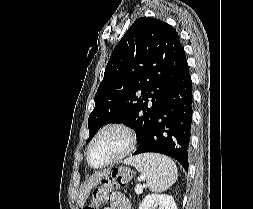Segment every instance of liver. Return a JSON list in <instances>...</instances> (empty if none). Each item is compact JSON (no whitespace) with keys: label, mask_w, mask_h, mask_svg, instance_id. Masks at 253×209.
I'll list each match as a JSON object with an SVG mask.
<instances>
[{"label":"liver","mask_w":253,"mask_h":209,"mask_svg":"<svg viewBox=\"0 0 253 209\" xmlns=\"http://www.w3.org/2000/svg\"><path fill=\"white\" fill-rule=\"evenodd\" d=\"M108 174L109 172L96 173L81 185L78 199V204L81 208L84 206L91 189L95 187L101 181V179L107 176Z\"/></svg>","instance_id":"1"}]
</instances>
